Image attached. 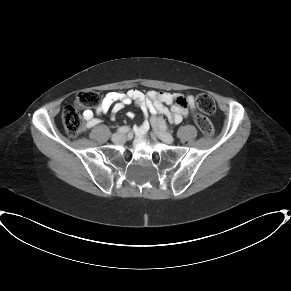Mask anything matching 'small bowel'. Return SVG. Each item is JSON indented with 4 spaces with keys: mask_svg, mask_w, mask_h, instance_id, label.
<instances>
[{
    "mask_svg": "<svg viewBox=\"0 0 291 291\" xmlns=\"http://www.w3.org/2000/svg\"><path fill=\"white\" fill-rule=\"evenodd\" d=\"M130 103L136 104L143 110H148L152 115L157 113L169 115L174 123H179L184 115L189 111L194 112L196 109L195 99L191 95L184 96L156 91L143 93L139 90L132 89L127 92L113 91L107 93L96 113L106 114L110 112L111 117L114 119L116 114ZM165 104L172 105L171 109H168ZM96 113L90 109L83 111L86 129L94 128L100 123V120L96 117ZM128 116L132 118L134 114L129 112Z\"/></svg>",
    "mask_w": 291,
    "mask_h": 291,
    "instance_id": "c3829d8e",
    "label": "small bowel"
}]
</instances>
